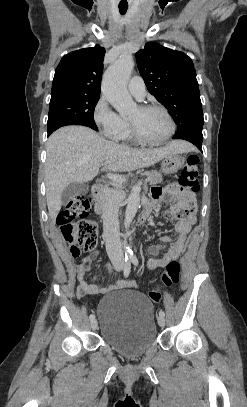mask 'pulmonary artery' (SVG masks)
Wrapping results in <instances>:
<instances>
[{"mask_svg":"<svg viewBox=\"0 0 247 407\" xmlns=\"http://www.w3.org/2000/svg\"><path fill=\"white\" fill-rule=\"evenodd\" d=\"M129 93L138 100H142L145 97V84L141 77L135 76L130 79L128 83Z\"/></svg>","mask_w":247,"mask_h":407,"instance_id":"e3ab8cb5","label":"pulmonary artery"}]
</instances>
